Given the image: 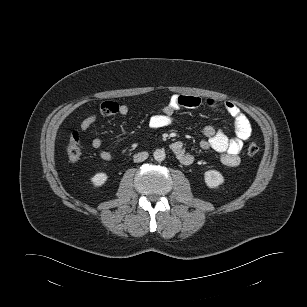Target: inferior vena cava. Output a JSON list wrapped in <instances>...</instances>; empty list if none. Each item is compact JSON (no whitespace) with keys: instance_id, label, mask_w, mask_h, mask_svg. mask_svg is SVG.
Segmentation results:
<instances>
[{"instance_id":"602c4592","label":"inferior vena cava","mask_w":307,"mask_h":307,"mask_svg":"<svg viewBox=\"0 0 307 307\" xmlns=\"http://www.w3.org/2000/svg\"><path fill=\"white\" fill-rule=\"evenodd\" d=\"M149 154L148 152H139L138 154L134 155V162L135 163H139V162H143L144 160H146L148 158Z\"/></svg>"}]
</instances>
